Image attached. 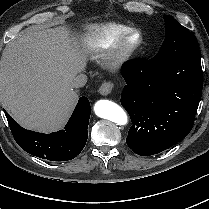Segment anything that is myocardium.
<instances>
[{
    "instance_id": "1",
    "label": "myocardium",
    "mask_w": 209,
    "mask_h": 209,
    "mask_svg": "<svg viewBox=\"0 0 209 209\" xmlns=\"http://www.w3.org/2000/svg\"><path fill=\"white\" fill-rule=\"evenodd\" d=\"M136 40L132 42V39ZM143 43L142 33L135 28L115 36L106 48L104 62L110 68H118L130 59Z\"/></svg>"
}]
</instances>
